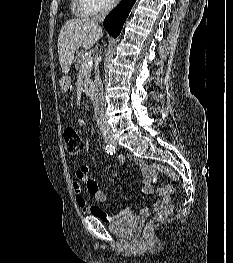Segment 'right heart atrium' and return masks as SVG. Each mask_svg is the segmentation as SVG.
<instances>
[{"label":"right heart atrium","instance_id":"obj_1","mask_svg":"<svg viewBox=\"0 0 233 263\" xmlns=\"http://www.w3.org/2000/svg\"><path fill=\"white\" fill-rule=\"evenodd\" d=\"M79 10L85 14H94L99 11L113 8L119 0H78Z\"/></svg>","mask_w":233,"mask_h":263}]
</instances>
